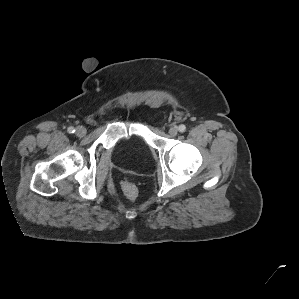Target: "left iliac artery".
Returning <instances> with one entry per match:
<instances>
[{"instance_id": "1", "label": "left iliac artery", "mask_w": 299, "mask_h": 299, "mask_svg": "<svg viewBox=\"0 0 299 299\" xmlns=\"http://www.w3.org/2000/svg\"><path fill=\"white\" fill-rule=\"evenodd\" d=\"M178 130H179V132L183 133L186 130V126L181 124V125H179Z\"/></svg>"}]
</instances>
